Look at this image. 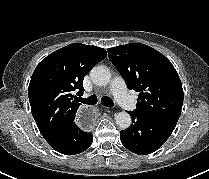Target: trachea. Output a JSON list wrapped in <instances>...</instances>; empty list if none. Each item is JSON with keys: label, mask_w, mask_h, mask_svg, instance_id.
<instances>
[{"label": "trachea", "mask_w": 209, "mask_h": 179, "mask_svg": "<svg viewBox=\"0 0 209 179\" xmlns=\"http://www.w3.org/2000/svg\"><path fill=\"white\" fill-rule=\"evenodd\" d=\"M97 97L95 95H91L86 99L81 98L80 102L84 103V104H89V105H95L97 103ZM101 102L103 105L107 106V107H113L114 103L111 99L103 97L101 99Z\"/></svg>", "instance_id": "3493384b"}]
</instances>
